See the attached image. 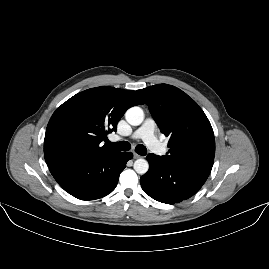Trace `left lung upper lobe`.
<instances>
[{
	"label": "left lung upper lobe",
	"mask_w": 269,
	"mask_h": 269,
	"mask_svg": "<svg viewBox=\"0 0 269 269\" xmlns=\"http://www.w3.org/2000/svg\"><path fill=\"white\" fill-rule=\"evenodd\" d=\"M165 136L167 163L210 174L215 155L211 124L197 103L175 86L159 84L137 90Z\"/></svg>",
	"instance_id": "5c2ea615"
}]
</instances>
